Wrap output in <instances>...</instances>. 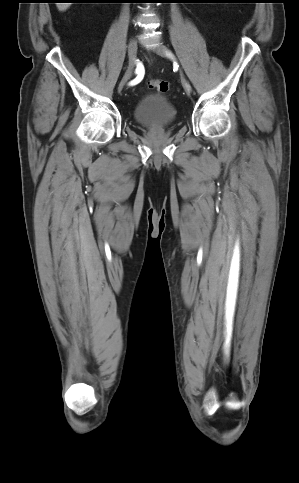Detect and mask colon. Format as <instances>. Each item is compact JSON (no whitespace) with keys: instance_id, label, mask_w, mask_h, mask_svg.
<instances>
[{"instance_id":"5ec220e1","label":"colon","mask_w":299,"mask_h":483,"mask_svg":"<svg viewBox=\"0 0 299 483\" xmlns=\"http://www.w3.org/2000/svg\"><path fill=\"white\" fill-rule=\"evenodd\" d=\"M148 86L159 93H166L169 90V83L161 79H151Z\"/></svg>"}]
</instances>
